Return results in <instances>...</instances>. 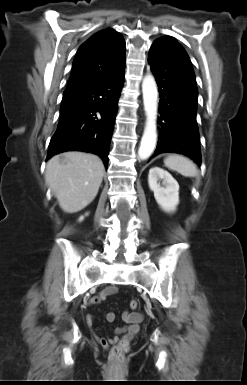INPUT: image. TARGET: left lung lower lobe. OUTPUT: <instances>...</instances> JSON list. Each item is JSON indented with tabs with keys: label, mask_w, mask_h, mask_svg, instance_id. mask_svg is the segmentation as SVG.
<instances>
[{
	"label": "left lung lower lobe",
	"mask_w": 247,
	"mask_h": 385,
	"mask_svg": "<svg viewBox=\"0 0 247 385\" xmlns=\"http://www.w3.org/2000/svg\"><path fill=\"white\" fill-rule=\"evenodd\" d=\"M148 63L156 78L161 98L159 140L152 157L163 152L181 153L194 159L200 166L196 122L198 91L187 53L173 38H159L150 48Z\"/></svg>",
	"instance_id": "1"
}]
</instances>
